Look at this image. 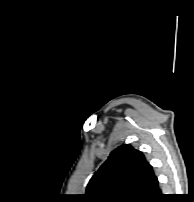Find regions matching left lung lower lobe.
Wrapping results in <instances>:
<instances>
[{
	"mask_svg": "<svg viewBox=\"0 0 194 202\" xmlns=\"http://www.w3.org/2000/svg\"><path fill=\"white\" fill-rule=\"evenodd\" d=\"M161 197H162V194H161L160 189H159L158 193L156 194L155 198L152 201L157 202V201H159V199Z\"/></svg>",
	"mask_w": 194,
	"mask_h": 202,
	"instance_id": "obj_1",
	"label": "left lung lower lobe"
}]
</instances>
